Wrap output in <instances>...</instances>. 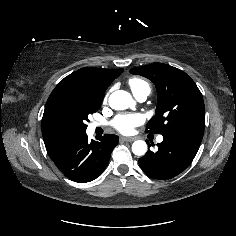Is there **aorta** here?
Here are the masks:
<instances>
[{"label": "aorta", "instance_id": "762f6f07", "mask_svg": "<svg viewBox=\"0 0 236 236\" xmlns=\"http://www.w3.org/2000/svg\"><path fill=\"white\" fill-rule=\"evenodd\" d=\"M132 103L131 95L124 90L113 92L109 97V106L114 110H124ZM132 152L137 156H143L147 152V144L143 140H137L132 144Z\"/></svg>", "mask_w": 236, "mask_h": 236}]
</instances>
